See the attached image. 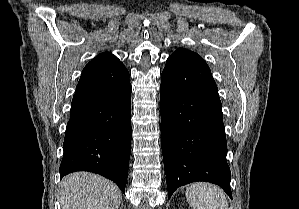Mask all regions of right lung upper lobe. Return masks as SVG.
Segmentation results:
<instances>
[{
    "label": "right lung upper lobe",
    "mask_w": 299,
    "mask_h": 209,
    "mask_svg": "<svg viewBox=\"0 0 299 209\" xmlns=\"http://www.w3.org/2000/svg\"><path fill=\"white\" fill-rule=\"evenodd\" d=\"M101 69H113L119 75L128 73L123 63L110 52H103L91 60L83 69L84 71H96Z\"/></svg>",
    "instance_id": "1"
}]
</instances>
